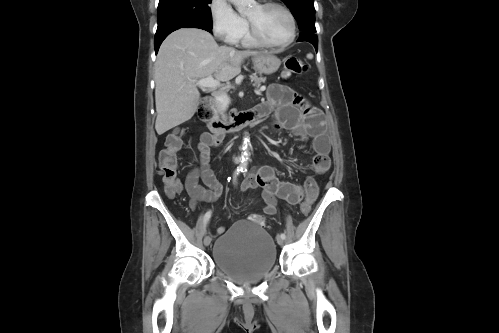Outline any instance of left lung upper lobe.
I'll return each mask as SVG.
<instances>
[{"label":"left lung upper lobe","mask_w":499,"mask_h":333,"mask_svg":"<svg viewBox=\"0 0 499 333\" xmlns=\"http://www.w3.org/2000/svg\"><path fill=\"white\" fill-rule=\"evenodd\" d=\"M292 11L301 31L316 32L314 0H282Z\"/></svg>","instance_id":"1"}]
</instances>
